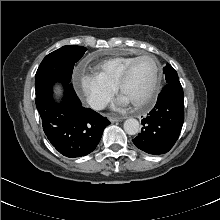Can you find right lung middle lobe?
<instances>
[{
  "label": "right lung middle lobe",
  "instance_id": "right-lung-middle-lobe-1",
  "mask_svg": "<svg viewBox=\"0 0 220 220\" xmlns=\"http://www.w3.org/2000/svg\"><path fill=\"white\" fill-rule=\"evenodd\" d=\"M86 50L83 46L67 45L48 54L35 75L36 95L55 82L68 84L74 64L80 60Z\"/></svg>",
  "mask_w": 220,
  "mask_h": 220
}]
</instances>
